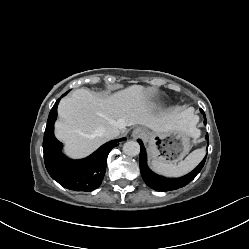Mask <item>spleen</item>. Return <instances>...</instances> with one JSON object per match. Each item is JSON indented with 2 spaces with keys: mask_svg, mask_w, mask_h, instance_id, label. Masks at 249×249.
<instances>
[{
  "mask_svg": "<svg viewBox=\"0 0 249 249\" xmlns=\"http://www.w3.org/2000/svg\"><path fill=\"white\" fill-rule=\"evenodd\" d=\"M205 150L203 148L196 149L191 152L184 160L178 164L153 160L151 165L153 169L167 177H180L193 170L204 158Z\"/></svg>",
  "mask_w": 249,
  "mask_h": 249,
  "instance_id": "1",
  "label": "spleen"
}]
</instances>
